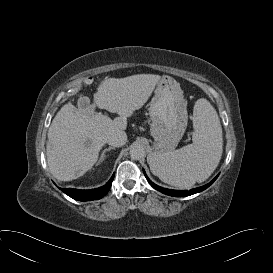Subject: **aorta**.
<instances>
[{
  "label": "aorta",
  "mask_w": 273,
  "mask_h": 273,
  "mask_svg": "<svg viewBox=\"0 0 273 273\" xmlns=\"http://www.w3.org/2000/svg\"><path fill=\"white\" fill-rule=\"evenodd\" d=\"M129 154L133 160H140L145 157V148L143 145L135 143L130 147Z\"/></svg>",
  "instance_id": "1"
}]
</instances>
